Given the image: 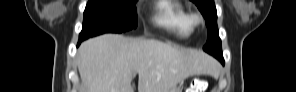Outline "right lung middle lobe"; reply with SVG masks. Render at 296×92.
<instances>
[{
	"instance_id": "dd1d6c3e",
	"label": "right lung middle lobe",
	"mask_w": 296,
	"mask_h": 92,
	"mask_svg": "<svg viewBox=\"0 0 296 92\" xmlns=\"http://www.w3.org/2000/svg\"><path fill=\"white\" fill-rule=\"evenodd\" d=\"M137 0H89L79 40L99 34L121 33L137 27Z\"/></svg>"
}]
</instances>
